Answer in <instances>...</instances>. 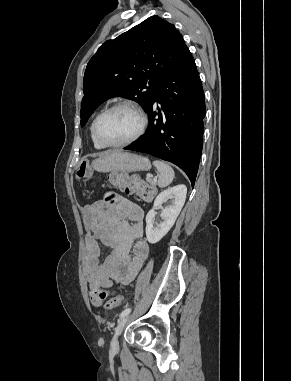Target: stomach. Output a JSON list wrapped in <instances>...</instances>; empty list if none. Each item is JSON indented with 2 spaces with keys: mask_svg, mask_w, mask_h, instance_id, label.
Segmentation results:
<instances>
[{
  "mask_svg": "<svg viewBox=\"0 0 291 381\" xmlns=\"http://www.w3.org/2000/svg\"><path fill=\"white\" fill-rule=\"evenodd\" d=\"M91 167L103 173L108 172H133L147 171L151 168V163L148 158L128 153V152H112L100 155L92 161Z\"/></svg>",
  "mask_w": 291,
  "mask_h": 381,
  "instance_id": "obj_1",
  "label": "stomach"
}]
</instances>
